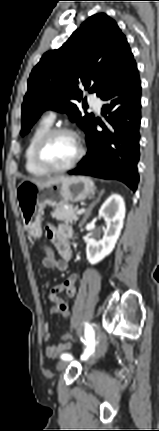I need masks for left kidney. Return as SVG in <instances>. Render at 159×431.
<instances>
[{
	"instance_id": "5707ae66",
	"label": "left kidney",
	"mask_w": 159,
	"mask_h": 431,
	"mask_svg": "<svg viewBox=\"0 0 159 431\" xmlns=\"http://www.w3.org/2000/svg\"><path fill=\"white\" fill-rule=\"evenodd\" d=\"M125 213L124 199L118 194L111 195L103 203L99 216L104 218L106 229L102 240L87 243L86 255L90 264H97L113 251L123 228Z\"/></svg>"
}]
</instances>
